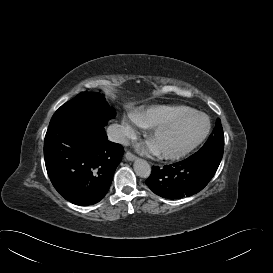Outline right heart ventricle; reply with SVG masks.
<instances>
[{
  "mask_svg": "<svg viewBox=\"0 0 273 273\" xmlns=\"http://www.w3.org/2000/svg\"><path fill=\"white\" fill-rule=\"evenodd\" d=\"M190 111H192V109L184 105L156 106L146 113L135 112L133 117L140 126L153 128L170 123Z\"/></svg>",
  "mask_w": 273,
  "mask_h": 273,
  "instance_id": "right-heart-ventricle-1",
  "label": "right heart ventricle"
}]
</instances>
